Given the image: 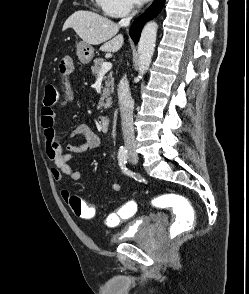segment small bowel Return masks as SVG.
<instances>
[{"mask_svg":"<svg viewBox=\"0 0 249 294\" xmlns=\"http://www.w3.org/2000/svg\"><path fill=\"white\" fill-rule=\"evenodd\" d=\"M69 75L70 71L66 76H62L64 84L63 97L58 104L60 107L71 104L74 99V91L69 81ZM55 119L56 112L54 107L43 105L40 111V126L45 137L46 155L50 161V174L55 182H62L64 176H67L71 181H78L81 177V173L79 170L72 168L70 161L75 159L78 154L98 149L101 145V140L88 125L79 124L75 126L65 137H81L83 142L80 144L69 143L64 147L61 142L63 137L57 133L55 128ZM110 189L113 192H120L121 185L118 182H112L110 184ZM60 194L66 203H68L72 197L70 191L67 189H62ZM91 208L94 210L93 207ZM121 212L122 208L107 217L106 224L108 227H116L123 219H126L120 217ZM81 218L91 219L93 217Z\"/></svg>","mask_w":249,"mask_h":294,"instance_id":"1","label":"small bowel"}]
</instances>
